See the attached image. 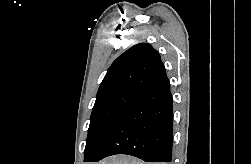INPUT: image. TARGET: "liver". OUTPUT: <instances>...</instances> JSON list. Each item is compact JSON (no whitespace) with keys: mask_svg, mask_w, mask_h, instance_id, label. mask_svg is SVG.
I'll use <instances>...</instances> for the list:
<instances>
[{"mask_svg":"<svg viewBox=\"0 0 251 164\" xmlns=\"http://www.w3.org/2000/svg\"><path fill=\"white\" fill-rule=\"evenodd\" d=\"M98 164H145V163L132 157L119 155V156H112L107 159H104Z\"/></svg>","mask_w":251,"mask_h":164,"instance_id":"liver-1","label":"liver"}]
</instances>
